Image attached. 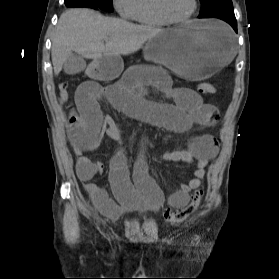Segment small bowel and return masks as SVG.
Instances as JSON below:
<instances>
[{
    "label": "small bowel",
    "mask_w": 279,
    "mask_h": 279,
    "mask_svg": "<svg viewBox=\"0 0 279 279\" xmlns=\"http://www.w3.org/2000/svg\"><path fill=\"white\" fill-rule=\"evenodd\" d=\"M154 86L165 98L175 104L153 102L146 98V87ZM108 103L131 118L169 131L183 133L194 125L213 126L219 112L189 88L173 87L167 73L156 67L133 66L122 75L119 84L101 85L95 82L81 84L69 103L68 139L78 156L76 174L90 195L95 207L104 215L117 217L122 209L157 210L164 203V194L149 176L143 151L130 175L124 152L119 150L110 163L109 179L116 201L94 179L103 171V165L87 156L100 144L104 135L117 142L123 139L120 125L104 116L101 104ZM219 142L210 134L193 137L186 149L162 155L166 161L195 164L193 178L173 190L168 203L174 208L185 206L189 193L200 186L205 168L216 157Z\"/></svg>",
    "instance_id": "1"
}]
</instances>
